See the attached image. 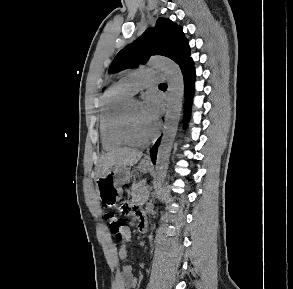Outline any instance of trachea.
Here are the masks:
<instances>
[{"label": "trachea", "instance_id": "1", "mask_svg": "<svg viewBox=\"0 0 293 289\" xmlns=\"http://www.w3.org/2000/svg\"><path fill=\"white\" fill-rule=\"evenodd\" d=\"M159 86H167V84H165V83H161Z\"/></svg>", "mask_w": 293, "mask_h": 289}]
</instances>
